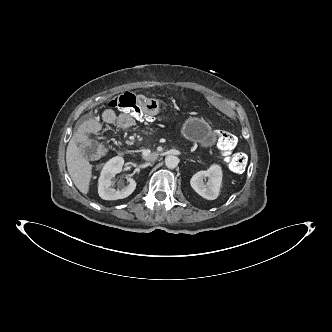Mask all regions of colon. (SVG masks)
<instances>
[{"mask_svg":"<svg viewBox=\"0 0 332 332\" xmlns=\"http://www.w3.org/2000/svg\"><path fill=\"white\" fill-rule=\"evenodd\" d=\"M137 98L132 93H125L113 98L109 102V108L112 111L127 113L129 117L137 118L141 124L151 125L156 116L142 109L137 103ZM215 139L224 153L228 168L234 173H241L245 169L247 157L244 153L233 151L237 143L235 135L228 131H218L215 134ZM79 146L88 158H97L104 154L102 146L93 140H80Z\"/></svg>","mask_w":332,"mask_h":332,"instance_id":"colon-1","label":"colon"}]
</instances>
